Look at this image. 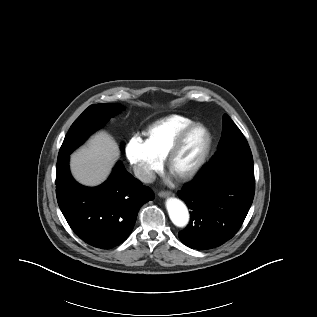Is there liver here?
Returning a JSON list of instances; mask_svg holds the SVG:
<instances>
[{
	"label": "liver",
	"mask_w": 317,
	"mask_h": 317,
	"mask_svg": "<svg viewBox=\"0 0 317 317\" xmlns=\"http://www.w3.org/2000/svg\"><path fill=\"white\" fill-rule=\"evenodd\" d=\"M119 156V148L113 137L105 132L97 133L86 146L71 155L72 175L83 185H99L108 177Z\"/></svg>",
	"instance_id": "obj_1"
}]
</instances>
